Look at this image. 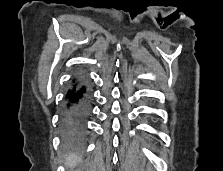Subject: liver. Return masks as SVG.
<instances>
[{"mask_svg": "<svg viewBox=\"0 0 223 171\" xmlns=\"http://www.w3.org/2000/svg\"><path fill=\"white\" fill-rule=\"evenodd\" d=\"M81 161V158L77 155H69L67 158H66V166L67 168H74L78 165V163Z\"/></svg>", "mask_w": 223, "mask_h": 171, "instance_id": "obj_1", "label": "liver"}]
</instances>
